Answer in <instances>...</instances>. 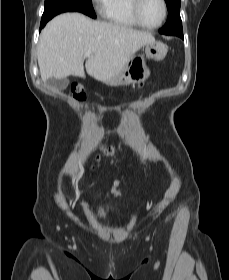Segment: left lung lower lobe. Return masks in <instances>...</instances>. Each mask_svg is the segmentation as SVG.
Masks as SVG:
<instances>
[{
  "label": "left lung lower lobe",
  "mask_w": 229,
  "mask_h": 280,
  "mask_svg": "<svg viewBox=\"0 0 229 280\" xmlns=\"http://www.w3.org/2000/svg\"><path fill=\"white\" fill-rule=\"evenodd\" d=\"M178 36L183 39V33H180Z\"/></svg>",
  "instance_id": "1"
}]
</instances>
